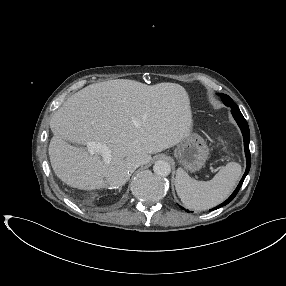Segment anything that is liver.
I'll list each match as a JSON object with an SVG mask.
<instances>
[{
    "label": "liver",
    "instance_id": "obj_1",
    "mask_svg": "<svg viewBox=\"0 0 286 286\" xmlns=\"http://www.w3.org/2000/svg\"><path fill=\"white\" fill-rule=\"evenodd\" d=\"M191 127L189 95L179 84L148 86L128 79L91 84L69 97L50 120L51 166L73 188H118L127 182L133 161L147 164L151 154L182 142ZM66 141L100 142L112 159L105 164L100 154Z\"/></svg>",
    "mask_w": 286,
    "mask_h": 286
}]
</instances>
